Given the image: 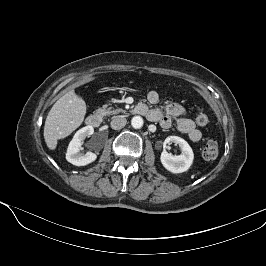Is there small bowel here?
Returning a JSON list of instances; mask_svg holds the SVG:
<instances>
[{
  "label": "small bowel",
  "mask_w": 266,
  "mask_h": 266,
  "mask_svg": "<svg viewBox=\"0 0 266 266\" xmlns=\"http://www.w3.org/2000/svg\"><path fill=\"white\" fill-rule=\"evenodd\" d=\"M150 103L156 104L160 101L157 91H150L147 95ZM145 109V115L150 121L159 122L164 128L171 126V118L176 120L178 130L186 134L190 140L197 142L202 138V133L196 128L194 122L187 116L185 108L178 103L167 104L164 108L150 109L147 105L141 104Z\"/></svg>",
  "instance_id": "small-bowel-1"
}]
</instances>
